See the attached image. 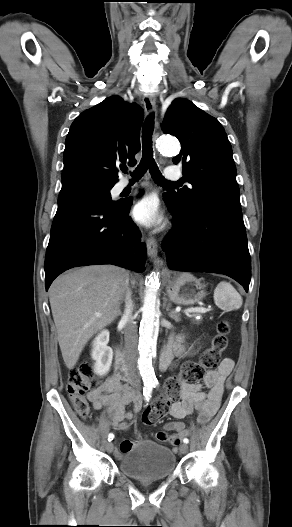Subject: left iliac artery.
Masks as SVG:
<instances>
[{"label":"left iliac artery","mask_w":292,"mask_h":527,"mask_svg":"<svg viewBox=\"0 0 292 527\" xmlns=\"http://www.w3.org/2000/svg\"><path fill=\"white\" fill-rule=\"evenodd\" d=\"M153 386L156 387V386H157V383H154ZM183 442L186 443V444L189 443L188 438H184V439H183Z\"/></svg>","instance_id":"left-iliac-artery-1"}]
</instances>
